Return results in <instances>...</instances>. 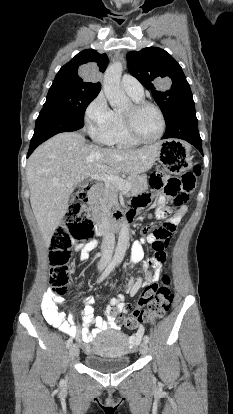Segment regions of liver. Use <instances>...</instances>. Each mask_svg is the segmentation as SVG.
<instances>
[{"label":"liver","instance_id":"1","mask_svg":"<svg viewBox=\"0 0 233 414\" xmlns=\"http://www.w3.org/2000/svg\"><path fill=\"white\" fill-rule=\"evenodd\" d=\"M158 150L159 143L139 149L99 147L88 144L77 132L59 133L37 147L27 161L26 175L31 207L45 244H50L78 183L92 175L146 172Z\"/></svg>","mask_w":233,"mask_h":414}]
</instances>
